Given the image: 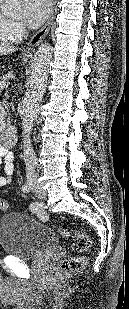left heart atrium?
<instances>
[{
	"mask_svg": "<svg viewBox=\"0 0 129 309\" xmlns=\"http://www.w3.org/2000/svg\"><path fill=\"white\" fill-rule=\"evenodd\" d=\"M51 0H24L23 19L30 28L39 27L48 17Z\"/></svg>",
	"mask_w": 129,
	"mask_h": 309,
	"instance_id": "obj_1",
	"label": "left heart atrium"
}]
</instances>
